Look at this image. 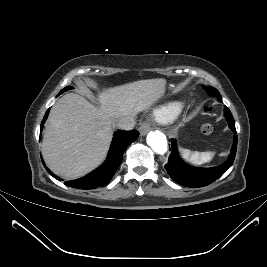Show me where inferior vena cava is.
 <instances>
[{
	"mask_svg": "<svg viewBox=\"0 0 267 267\" xmlns=\"http://www.w3.org/2000/svg\"><path fill=\"white\" fill-rule=\"evenodd\" d=\"M113 127L122 130H132L135 126L134 118L131 116H126L118 118L112 122Z\"/></svg>",
	"mask_w": 267,
	"mask_h": 267,
	"instance_id": "obj_1",
	"label": "inferior vena cava"
}]
</instances>
